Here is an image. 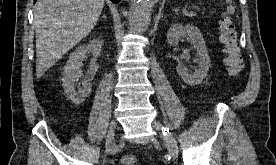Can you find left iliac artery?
Instances as JSON below:
<instances>
[{
    "label": "left iliac artery",
    "instance_id": "obj_1",
    "mask_svg": "<svg viewBox=\"0 0 276 165\" xmlns=\"http://www.w3.org/2000/svg\"><path fill=\"white\" fill-rule=\"evenodd\" d=\"M162 130H163L164 132H169V130L166 129V128H164V127H162Z\"/></svg>",
    "mask_w": 276,
    "mask_h": 165
}]
</instances>
